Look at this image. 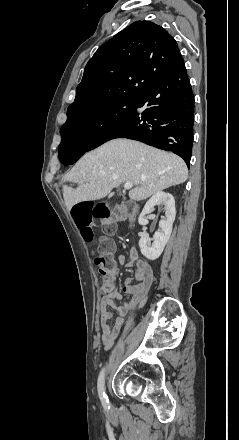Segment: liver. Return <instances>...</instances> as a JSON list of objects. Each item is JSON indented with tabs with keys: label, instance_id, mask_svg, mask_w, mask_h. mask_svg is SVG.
I'll use <instances>...</instances> for the list:
<instances>
[{
	"label": "liver",
	"instance_id": "obj_1",
	"mask_svg": "<svg viewBox=\"0 0 239 440\" xmlns=\"http://www.w3.org/2000/svg\"><path fill=\"white\" fill-rule=\"evenodd\" d=\"M141 176H146V180H141ZM187 176V166L179 156L119 138L85 154L63 176V198L71 210L79 202L106 198L113 188L131 182L137 188L130 190V200H146L170 186L183 184ZM64 182L79 186L73 190Z\"/></svg>",
	"mask_w": 239,
	"mask_h": 440
}]
</instances>
